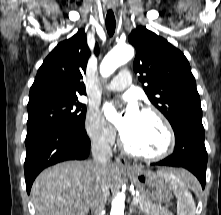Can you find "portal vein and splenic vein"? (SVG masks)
<instances>
[{"instance_id":"18ae733b","label":"portal vein and splenic vein","mask_w":221,"mask_h":215,"mask_svg":"<svg viewBox=\"0 0 221 215\" xmlns=\"http://www.w3.org/2000/svg\"><path fill=\"white\" fill-rule=\"evenodd\" d=\"M133 203H134V204L139 203V199L134 197V198H133Z\"/></svg>"}]
</instances>
